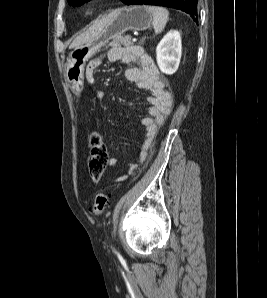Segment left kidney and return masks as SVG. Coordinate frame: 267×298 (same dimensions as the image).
<instances>
[{"label": "left kidney", "mask_w": 267, "mask_h": 298, "mask_svg": "<svg viewBox=\"0 0 267 298\" xmlns=\"http://www.w3.org/2000/svg\"><path fill=\"white\" fill-rule=\"evenodd\" d=\"M182 54L181 36L177 30H170L156 48V61L161 72L171 75L179 67Z\"/></svg>", "instance_id": "1"}]
</instances>
